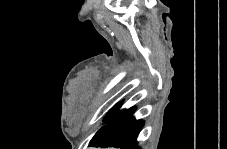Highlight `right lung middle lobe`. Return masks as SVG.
Instances as JSON below:
<instances>
[{
  "label": "right lung middle lobe",
  "mask_w": 227,
  "mask_h": 149,
  "mask_svg": "<svg viewBox=\"0 0 227 149\" xmlns=\"http://www.w3.org/2000/svg\"><path fill=\"white\" fill-rule=\"evenodd\" d=\"M120 105H115L104 118V123L108 124L120 117L126 110L119 111Z\"/></svg>",
  "instance_id": "right-lung-middle-lobe-1"
}]
</instances>
